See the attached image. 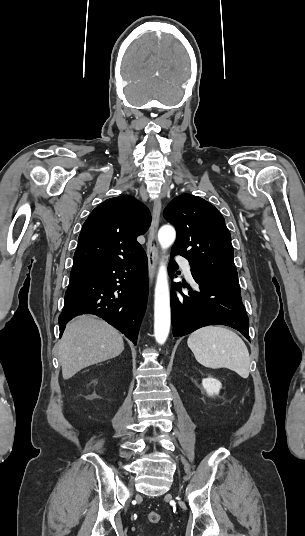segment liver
<instances>
[{
    "instance_id": "6515ba94",
    "label": "liver",
    "mask_w": 305,
    "mask_h": 536,
    "mask_svg": "<svg viewBox=\"0 0 305 536\" xmlns=\"http://www.w3.org/2000/svg\"><path fill=\"white\" fill-rule=\"evenodd\" d=\"M123 350V338L115 328L104 320L78 316L67 324L59 340L58 360L62 376L69 380L83 368L116 358Z\"/></svg>"
}]
</instances>
